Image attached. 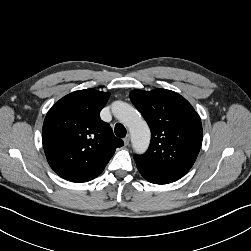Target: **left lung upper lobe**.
Listing matches in <instances>:
<instances>
[{"label":"left lung upper lobe","mask_w":251,"mask_h":251,"mask_svg":"<svg viewBox=\"0 0 251 251\" xmlns=\"http://www.w3.org/2000/svg\"><path fill=\"white\" fill-rule=\"evenodd\" d=\"M130 99L151 129V143L136 164L186 174L202 145L199 115L181 95L166 89L134 90Z\"/></svg>","instance_id":"obj_1"}]
</instances>
